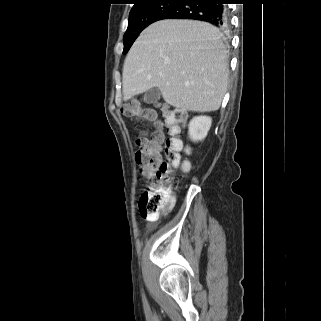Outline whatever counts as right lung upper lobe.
Segmentation results:
<instances>
[{
  "label": "right lung upper lobe",
  "instance_id": "1",
  "mask_svg": "<svg viewBox=\"0 0 321 321\" xmlns=\"http://www.w3.org/2000/svg\"><path fill=\"white\" fill-rule=\"evenodd\" d=\"M134 1H135L134 6H138L151 0H134Z\"/></svg>",
  "mask_w": 321,
  "mask_h": 321
}]
</instances>
